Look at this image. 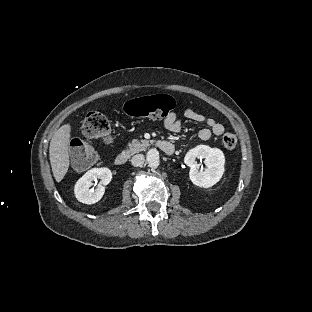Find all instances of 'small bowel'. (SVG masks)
I'll list each match as a JSON object with an SVG mask.
<instances>
[{"mask_svg":"<svg viewBox=\"0 0 312 312\" xmlns=\"http://www.w3.org/2000/svg\"><path fill=\"white\" fill-rule=\"evenodd\" d=\"M183 117L190 122L206 124L207 127L198 132V136L202 140H208L212 135L220 136L224 133L225 129L222 123L214 118L206 117L204 114L193 109H186L183 113ZM163 125L168 132L176 134L182 130L183 120L177 113L171 111L164 118Z\"/></svg>","mask_w":312,"mask_h":312,"instance_id":"c3829d8e","label":"small bowel"}]
</instances>
